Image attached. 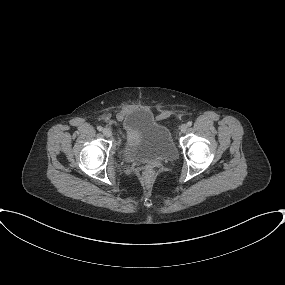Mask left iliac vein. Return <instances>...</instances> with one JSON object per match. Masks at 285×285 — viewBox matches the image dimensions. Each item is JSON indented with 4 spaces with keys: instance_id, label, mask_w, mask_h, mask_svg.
Masks as SVG:
<instances>
[{
    "instance_id": "left-iliac-vein-1",
    "label": "left iliac vein",
    "mask_w": 285,
    "mask_h": 285,
    "mask_svg": "<svg viewBox=\"0 0 285 285\" xmlns=\"http://www.w3.org/2000/svg\"><path fill=\"white\" fill-rule=\"evenodd\" d=\"M187 129H188V127H187L186 124H182V125L180 126V130H181L182 133H185V132L187 131Z\"/></svg>"
}]
</instances>
